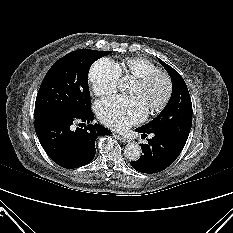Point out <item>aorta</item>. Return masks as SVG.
<instances>
[{"mask_svg":"<svg viewBox=\"0 0 233 233\" xmlns=\"http://www.w3.org/2000/svg\"><path fill=\"white\" fill-rule=\"evenodd\" d=\"M119 89L121 91H125L126 88H127V81L126 79H122L120 82H119ZM141 147L138 143L136 142H131V143H128L124 149V154H125V157L130 160V161H137L140 156H141Z\"/></svg>","mask_w":233,"mask_h":233,"instance_id":"aorta-1","label":"aorta"}]
</instances>
